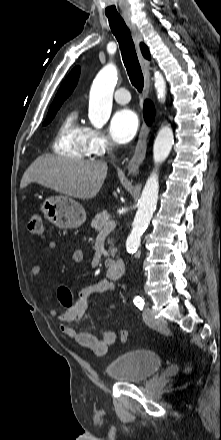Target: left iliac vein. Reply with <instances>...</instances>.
<instances>
[{
  "label": "left iliac vein",
  "instance_id": "4c4485c4",
  "mask_svg": "<svg viewBox=\"0 0 221 440\" xmlns=\"http://www.w3.org/2000/svg\"><path fill=\"white\" fill-rule=\"evenodd\" d=\"M143 319L148 326L155 329L164 328L166 326L165 319L164 318L155 319L149 307L144 308Z\"/></svg>",
  "mask_w": 221,
  "mask_h": 440
}]
</instances>
